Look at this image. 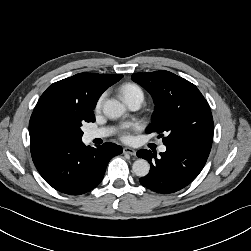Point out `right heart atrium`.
I'll return each mask as SVG.
<instances>
[{"label":"right heart atrium","instance_id":"obj_1","mask_svg":"<svg viewBox=\"0 0 251 251\" xmlns=\"http://www.w3.org/2000/svg\"><path fill=\"white\" fill-rule=\"evenodd\" d=\"M103 100H104V94H102L96 101L95 103V110L98 111L100 110L102 104H103Z\"/></svg>","mask_w":251,"mask_h":251}]
</instances>
